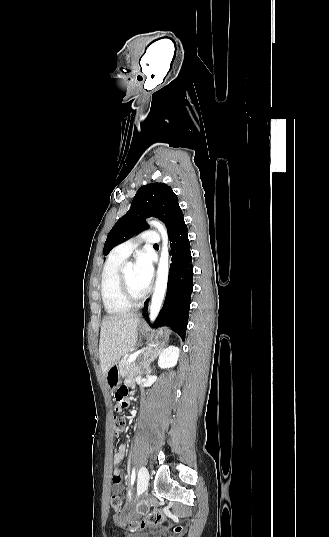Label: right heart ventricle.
<instances>
[{"label": "right heart ventricle", "instance_id": "1", "mask_svg": "<svg viewBox=\"0 0 329 537\" xmlns=\"http://www.w3.org/2000/svg\"><path fill=\"white\" fill-rule=\"evenodd\" d=\"M125 258L113 253L106 261L101 273V297L108 314L117 315L128 312L132 305L127 303L121 295L118 274Z\"/></svg>", "mask_w": 329, "mask_h": 537}]
</instances>
